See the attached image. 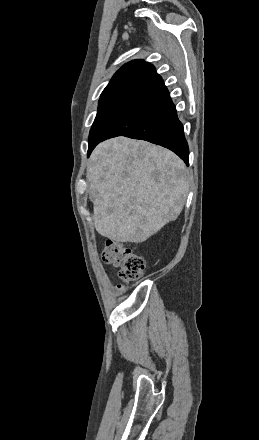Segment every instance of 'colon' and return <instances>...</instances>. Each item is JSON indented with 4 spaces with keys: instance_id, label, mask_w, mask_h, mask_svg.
<instances>
[{
    "instance_id": "5ec220e1",
    "label": "colon",
    "mask_w": 259,
    "mask_h": 440,
    "mask_svg": "<svg viewBox=\"0 0 259 440\" xmlns=\"http://www.w3.org/2000/svg\"><path fill=\"white\" fill-rule=\"evenodd\" d=\"M102 259L107 264L119 267L121 283L119 290L143 276L146 268L145 259L138 255L134 249L116 240H107L102 252Z\"/></svg>"
}]
</instances>
